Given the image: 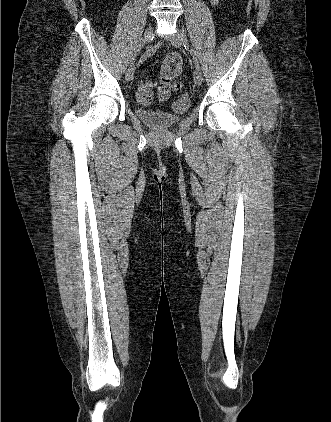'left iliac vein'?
Masks as SVG:
<instances>
[{
  "mask_svg": "<svg viewBox=\"0 0 331 422\" xmlns=\"http://www.w3.org/2000/svg\"><path fill=\"white\" fill-rule=\"evenodd\" d=\"M170 41L172 45L177 48L185 46L187 44V38L184 32H178L177 34L173 35ZM193 79L197 86H200L202 84L203 75L201 73V70H194Z\"/></svg>",
  "mask_w": 331,
  "mask_h": 422,
  "instance_id": "1",
  "label": "left iliac vein"
}]
</instances>
